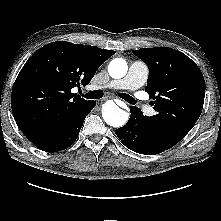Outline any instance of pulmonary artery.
<instances>
[{"label": "pulmonary artery", "mask_w": 221, "mask_h": 221, "mask_svg": "<svg viewBox=\"0 0 221 221\" xmlns=\"http://www.w3.org/2000/svg\"><path fill=\"white\" fill-rule=\"evenodd\" d=\"M148 75L149 71L146 64L135 61L130 65L127 74L123 78L109 82L104 88L136 90L146 82ZM144 110L148 115L154 114L151 107H145Z\"/></svg>", "instance_id": "e3ab8cb5"}]
</instances>
